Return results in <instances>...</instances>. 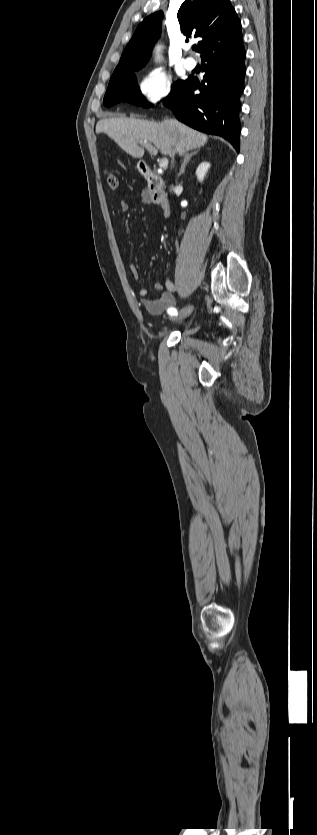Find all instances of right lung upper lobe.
Instances as JSON below:
<instances>
[{
  "label": "right lung upper lobe",
  "instance_id": "obj_1",
  "mask_svg": "<svg viewBox=\"0 0 317 835\" xmlns=\"http://www.w3.org/2000/svg\"><path fill=\"white\" fill-rule=\"evenodd\" d=\"M162 17V11L155 12L139 24L115 70H139L144 66L160 37ZM177 17L186 40L202 38L196 49L201 55L216 44L242 36L241 22L230 0H194L192 3L185 0Z\"/></svg>",
  "mask_w": 317,
  "mask_h": 835
}]
</instances>
